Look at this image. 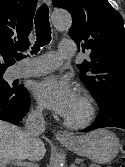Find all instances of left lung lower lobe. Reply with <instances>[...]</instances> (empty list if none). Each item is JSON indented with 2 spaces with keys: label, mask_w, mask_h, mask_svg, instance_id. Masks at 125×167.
Masks as SVG:
<instances>
[{
  "label": "left lung lower lobe",
  "mask_w": 125,
  "mask_h": 167,
  "mask_svg": "<svg viewBox=\"0 0 125 167\" xmlns=\"http://www.w3.org/2000/svg\"><path fill=\"white\" fill-rule=\"evenodd\" d=\"M101 113L92 126L81 130L88 132L103 127L125 129V97L116 96L106 100L100 107Z\"/></svg>",
  "instance_id": "left-lung-lower-lobe-1"
}]
</instances>
